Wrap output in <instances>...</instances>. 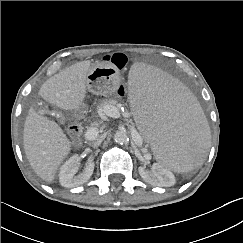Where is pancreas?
Segmentation results:
<instances>
[{
	"instance_id": "obj_1",
	"label": "pancreas",
	"mask_w": 243,
	"mask_h": 243,
	"mask_svg": "<svg viewBox=\"0 0 243 243\" xmlns=\"http://www.w3.org/2000/svg\"><path fill=\"white\" fill-rule=\"evenodd\" d=\"M107 107H114L119 111V108L121 107V105L118 104L116 100H113V99L107 100L106 99V100L101 101L97 106L98 110H102L105 114L107 111ZM124 117H125L126 121H129L128 115L124 114Z\"/></svg>"
}]
</instances>
